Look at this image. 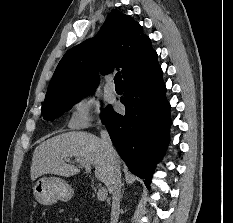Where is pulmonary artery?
<instances>
[{
	"mask_svg": "<svg viewBox=\"0 0 233 223\" xmlns=\"http://www.w3.org/2000/svg\"><path fill=\"white\" fill-rule=\"evenodd\" d=\"M113 80V77L112 76H109L108 79H107V84H106V89L108 92L110 93H113L115 92L116 88H115V85L114 83L112 82Z\"/></svg>",
	"mask_w": 233,
	"mask_h": 223,
	"instance_id": "obj_1",
	"label": "pulmonary artery"
}]
</instances>
